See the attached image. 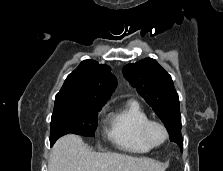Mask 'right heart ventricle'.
Returning <instances> with one entry per match:
<instances>
[{"mask_svg":"<svg viewBox=\"0 0 223 171\" xmlns=\"http://www.w3.org/2000/svg\"><path fill=\"white\" fill-rule=\"evenodd\" d=\"M150 118L141 105L130 100L107 117V136L119 149L131 153H147L152 147L145 141L142 129Z\"/></svg>","mask_w":223,"mask_h":171,"instance_id":"right-heart-ventricle-1","label":"right heart ventricle"}]
</instances>
